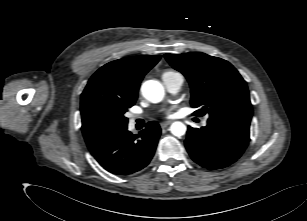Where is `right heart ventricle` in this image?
<instances>
[{
  "label": "right heart ventricle",
  "instance_id": "e07e8e85",
  "mask_svg": "<svg viewBox=\"0 0 307 221\" xmlns=\"http://www.w3.org/2000/svg\"><path fill=\"white\" fill-rule=\"evenodd\" d=\"M174 74H178V72L172 71V70H168V71H165V72L163 73L162 77H163L164 75H174Z\"/></svg>",
  "mask_w": 307,
  "mask_h": 221
}]
</instances>
